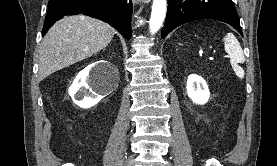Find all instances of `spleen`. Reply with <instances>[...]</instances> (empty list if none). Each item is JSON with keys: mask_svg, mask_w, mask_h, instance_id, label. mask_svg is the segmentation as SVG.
Returning a JSON list of instances; mask_svg holds the SVG:
<instances>
[{"mask_svg": "<svg viewBox=\"0 0 277 166\" xmlns=\"http://www.w3.org/2000/svg\"><path fill=\"white\" fill-rule=\"evenodd\" d=\"M224 48L230 57V63L233 68L239 63H244L245 57L239 41L232 33H228L224 39Z\"/></svg>", "mask_w": 277, "mask_h": 166, "instance_id": "spleen-1", "label": "spleen"}]
</instances>
